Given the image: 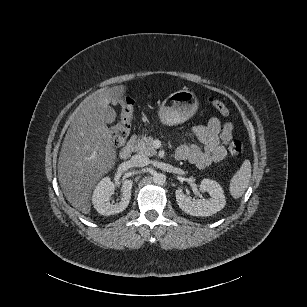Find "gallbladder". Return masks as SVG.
Masks as SVG:
<instances>
[{
    "label": "gallbladder",
    "mask_w": 307,
    "mask_h": 307,
    "mask_svg": "<svg viewBox=\"0 0 307 307\" xmlns=\"http://www.w3.org/2000/svg\"><path fill=\"white\" fill-rule=\"evenodd\" d=\"M104 111H105L104 119L105 121H107V125L109 127H114L116 125L115 119L117 118V113L110 105L105 106Z\"/></svg>",
    "instance_id": "gallbladder-1"
}]
</instances>
